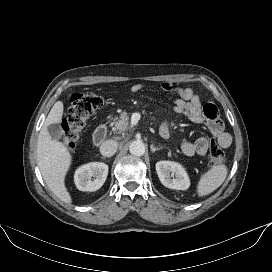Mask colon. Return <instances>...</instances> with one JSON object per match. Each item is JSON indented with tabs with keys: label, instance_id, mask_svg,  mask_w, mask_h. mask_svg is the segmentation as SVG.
Listing matches in <instances>:
<instances>
[{
	"label": "colon",
	"instance_id": "1",
	"mask_svg": "<svg viewBox=\"0 0 272 272\" xmlns=\"http://www.w3.org/2000/svg\"><path fill=\"white\" fill-rule=\"evenodd\" d=\"M104 102V97L95 92L76 93L71 96V107L62 123V142L67 149H74L88 119ZM209 158L212 166H220L225 161L224 152L215 141L210 145Z\"/></svg>",
	"mask_w": 272,
	"mask_h": 272
}]
</instances>
